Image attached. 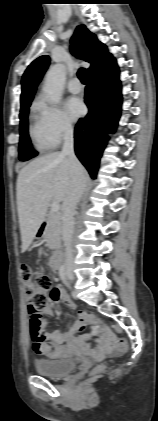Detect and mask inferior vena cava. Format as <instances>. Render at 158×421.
<instances>
[{"label": "inferior vena cava", "mask_w": 158, "mask_h": 421, "mask_svg": "<svg viewBox=\"0 0 158 421\" xmlns=\"http://www.w3.org/2000/svg\"><path fill=\"white\" fill-rule=\"evenodd\" d=\"M64 143L61 155L68 157L71 183L63 201L62 237L65 246V263L73 261L71 239L74 231V214L86 186V172L74 152L73 128L67 124L64 127Z\"/></svg>", "instance_id": "1"}]
</instances>
